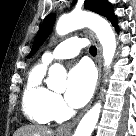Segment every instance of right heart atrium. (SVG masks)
Listing matches in <instances>:
<instances>
[{"label":"right heart atrium","mask_w":136,"mask_h":136,"mask_svg":"<svg viewBox=\"0 0 136 136\" xmlns=\"http://www.w3.org/2000/svg\"><path fill=\"white\" fill-rule=\"evenodd\" d=\"M51 108L54 113L55 118H61L66 113L65 104L60 95L54 94L51 98Z\"/></svg>","instance_id":"1"}]
</instances>
